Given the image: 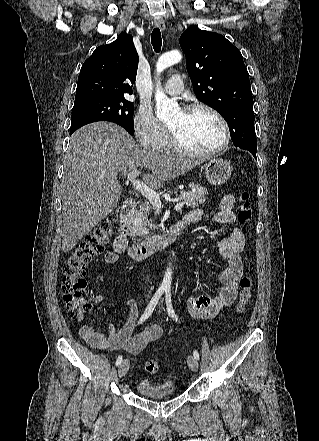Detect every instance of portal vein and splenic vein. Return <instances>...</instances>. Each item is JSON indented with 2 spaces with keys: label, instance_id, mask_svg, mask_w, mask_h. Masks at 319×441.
<instances>
[{
  "label": "portal vein and splenic vein",
  "instance_id": "1",
  "mask_svg": "<svg viewBox=\"0 0 319 441\" xmlns=\"http://www.w3.org/2000/svg\"><path fill=\"white\" fill-rule=\"evenodd\" d=\"M139 175V170L134 169L130 171L127 175V180L131 181L133 187L140 192L143 196H145L152 204L157 208L158 211L161 210V200L159 198V195L151 188H149L147 185H145L140 180L136 179V177ZM183 202L178 203L175 206V210H180L183 207Z\"/></svg>",
  "mask_w": 319,
  "mask_h": 441
}]
</instances>
